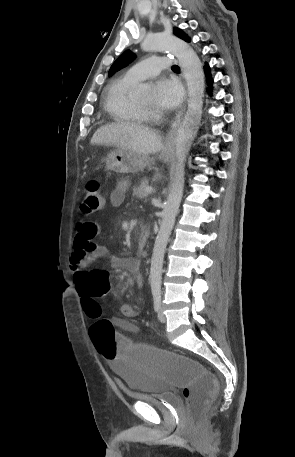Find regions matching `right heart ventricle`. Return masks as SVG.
Instances as JSON below:
<instances>
[{
	"label": "right heart ventricle",
	"instance_id": "obj_1",
	"mask_svg": "<svg viewBox=\"0 0 295 457\" xmlns=\"http://www.w3.org/2000/svg\"><path fill=\"white\" fill-rule=\"evenodd\" d=\"M137 81L126 75L113 80L104 93V107L114 121L122 123H144L145 110L131 97Z\"/></svg>",
	"mask_w": 295,
	"mask_h": 457
}]
</instances>
